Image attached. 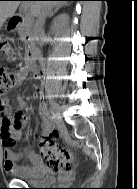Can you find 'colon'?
Instances as JSON below:
<instances>
[{
	"mask_svg": "<svg viewBox=\"0 0 137 189\" xmlns=\"http://www.w3.org/2000/svg\"><path fill=\"white\" fill-rule=\"evenodd\" d=\"M0 50L9 60H15L19 54L7 42L0 41ZM17 75L4 69H0V99L5 97L16 85ZM22 120L19 118L14 123V128L20 129ZM59 133L53 131L44 136L40 141V151L46 163L57 171H70L72 168V157L70 150L57 143Z\"/></svg>",
	"mask_w": 137,
	"mask_h": 189,
	"instance_id": "obj_1",
	"label": "colon"
}]
</instances>
